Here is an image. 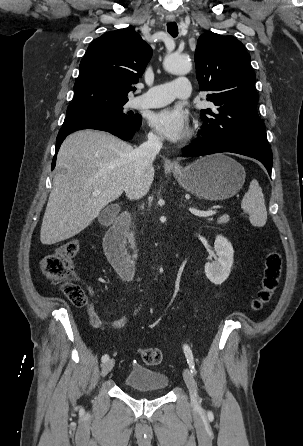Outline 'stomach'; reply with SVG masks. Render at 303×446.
Wrapping results in <instances>:
<instances>
[{"label":"stomach","instance_id":"stomach-1","mask_svg":"<svg viewBox=\"0 0 303 446\" xmlns=\"http://www.w3.org/2000/svg\"><path fill=\"white\" fill-rule=\"evenodd\" d=\"M179 184L192 194L207 200H225L243 186L244 167L224 154L201 157L186 167H174Z\"/></svg>","mask_w":303,"mask_h":446}]
</instances>
